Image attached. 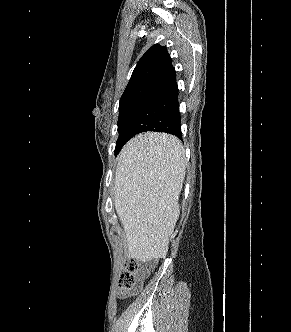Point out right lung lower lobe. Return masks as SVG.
<instances>
[{
    "label": "right lung lower lobe",
    "mask_w": 291,
    "mask_h": 332,
    "mask_svg": "<svg viewBox=\"0 0 291 332\" xmlns=\"http://www.w3.org/2000/svg\"><path fill=\"white\" fill-rule=\"evenodd\" d=\"M145 131L166 132L181 138L176 78L141 99L124 130L125 143Z\"/></svg>",
    "instance_id": "right-lung-lower-lobe-1"
}]
</instances>
